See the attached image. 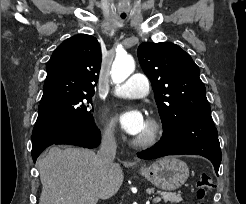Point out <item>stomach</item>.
<instances>
[{
	"mask_svg": "<svg viewBox=\"0 0 246 204\" xmlns=\"http://www.w3.org/2000/svg\"><path fill=\"white\" fill-rule=\"evenodd\" d=\"M140 174L156 187L174 191L181 187L189 177L185 162L175 157H164L148 167L140 169Z\"/></svg>",
	"mask_w": 246,
	"mask_h": 204,
	"instance_id": "1",
	"label": "stomach"
}]
</instances>
